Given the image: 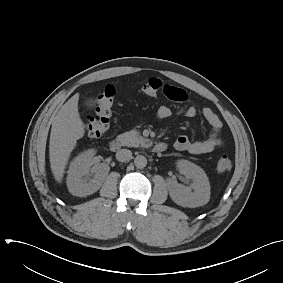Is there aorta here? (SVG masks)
Instances as JSON below:
<instances>
[{"label": "aorta", "mask_w": 283, "mask_h": 283, "mask_svg": "<svg viewBox=\"0 0 283 283\" xmlns=\"http://www.w3.org/2000/svg\"><path fill=\"white\" fill-rule=\"evenodd\" d=\"M134 164H135V166H136L137 168L142 169V168L146 167V165H147V159H146V157L143 156V155H138V156H136L135 159H134Z\"/></svg>", "instance_id": "obj_1"}]
</instances>
